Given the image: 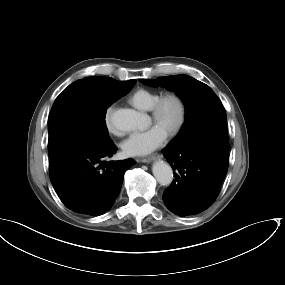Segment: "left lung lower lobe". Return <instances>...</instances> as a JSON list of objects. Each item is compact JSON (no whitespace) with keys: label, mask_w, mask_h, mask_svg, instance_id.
Segmentation results:
<instances>
[{"label":"left lung lower lobe","mask_w":285,"mask_h":285,"mask_svg":"<svg viewBox=\"0 0 285 285\" xmlns=\"http://www.w3.org/2000/svg\"><path fill=\"white\" fill-rule=\"evenodd\" d=\"M230 146L204 140L179 149H163L174 177L163 201L174 214L185 217L207 209L217 198L228 170Z\"/></svg>","instance_id":"1"}]
</instances>
